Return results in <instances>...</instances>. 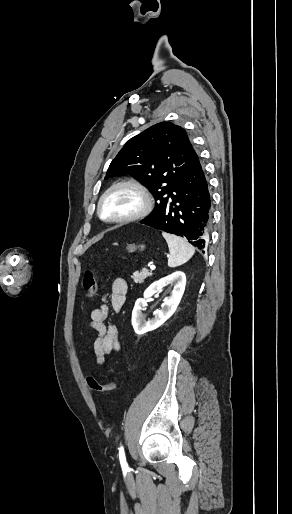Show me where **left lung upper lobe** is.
I'll return each mask as SVG.
<instances>
[{"mask_svg":"<svg viewBox=\"0 0 292 514\" xmlns=\"http://www.w3.org/2000/svg\"><path fill=\"white\" fill-rule=\"evenodd\" d=\"M193 146L186 131L170 122L157 123L131 138L112 160L105 179L131 175L153 194L155 216L159 203L172 193L187 171Z\"/></svg>","mask_w":292,"mask_h":514,"instance_id":"5c2ea615","label":"left lung upper lobe"}]
</instances>
